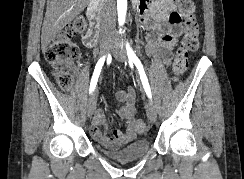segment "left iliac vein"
Masks as SVG:
<instances>
[{"label": "left iliac vein", "instance_id": "1", "mask_svg": "<svg viewBox=\"0 0 244 179\" xmlns=\"http://www.w3.org/2000/svg\"><path fill=\"white\" fill-rule=\"evenodd\" d=\"M120 39H118L116 42H113L111 44V48L113 49V55L119 62H125L127 59L126 51L122 47L120 43ZM147 109V116L151 122H155L157 119V110L155 108V105L149 101L146 106Z\"/></svg>", "mask_w": 244, "mask_h": 179}]
</instances>
